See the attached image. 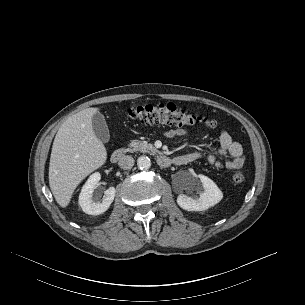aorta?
I'll use <instances>...</instances> for the list:
<instances>
[{"mask_svg":"<svg viewBox=\"0 0 305 305\" xmlns=\"http://www.w3.org/2000/svg\"><path fill=\"white\" fill-rule=\"evenodd\" d=\"M137 165L140 169L147 170L151 167V160L147 156H140L137 160Z\"/></svg>","mask_w":305,"mask_h":305,"instance_id":"obj_1","label":"aorta"}]
</instances>
